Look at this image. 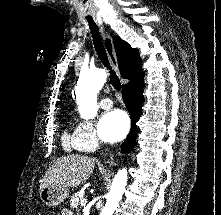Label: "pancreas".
Instances as JSON below:
<instances>
[{"mask_svg":"<svg viewBox=\"0 0 221 215\" xmlns=\"http://www.w3.org/2000/svg\"><path fill=\"white\" fill-rule=\"evenodd\" d=\"M82 198H83L82 193H80V192L75 193L70 200V207L72 209H75V208L77 209L79 206V202H80V200H82Z\"/></svg>","mask_w":221,"mask_h":215,"instance_id":"cf45deb5","label":"pancreas"}]
</instances>
